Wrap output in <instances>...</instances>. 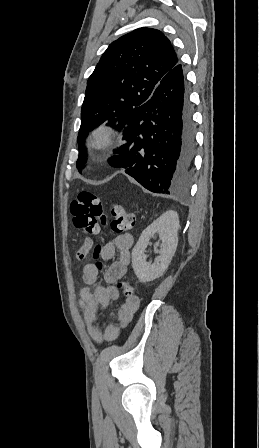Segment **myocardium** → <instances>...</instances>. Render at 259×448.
Listing matches in <instances>:
<instances>
[{"mask_svg":"<svg viewBox=\"0 0 259 448\" xmlns=\"http://www.w3.org/2000/svg\"><path fill=\"white\" fill-rule=\"evenodd\" d=\"M115 137V130L107 124H99L93 127L85 141L86 156L89 160L105 162L107 159V149L112 144Z\"/></svg>","mask_w":259,"mask_h":448,"instance_id":"myocardium-1","label":"myocardium"}]
</instances>
